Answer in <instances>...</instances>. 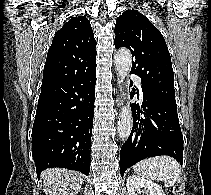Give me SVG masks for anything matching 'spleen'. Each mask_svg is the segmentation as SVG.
<instances>
[{
	"label": "spleen",
	"instance_id": "3e777b00",
	"mask_svg": "<svg viewBox=\"0 0 211 195\" xmlns=\"http://www.w3.org/2000/svg\"><path fill=\"white\" fill-rule=\"evenodd\" d=\"M135 173L154 181H163L166 186H173L181 173L180 164L170 156L149 158L133 167Z\"/></svg>",
	"mask_w": 211,
	"mask_h": 195
}]
</instances>
